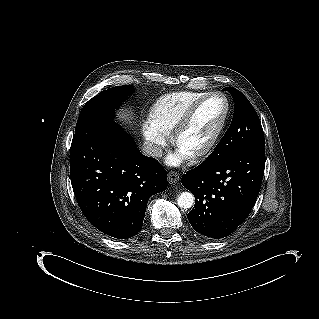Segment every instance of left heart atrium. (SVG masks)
Here are the masks:
<instances>
[{
    "label": "left heart atrium",
    "mask_w": 319,
    "mask_h": 319,
    "mask_svg": "<svg viewBox=\"0 0 319 319\" xmlns=\"http://www.w3.org/2000/svg\"><path fill=\"white\" fill-rule=\"evenodd\" d=\"M187 154L189 153H184L180 151L170 153L167 157V162L170 165L178 166L187 158Z\"/></svg>",
    "instance_id": "39dd6f15"
}]
</instances>
